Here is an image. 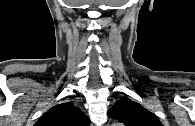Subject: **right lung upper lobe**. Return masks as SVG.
Returning a JSON list of instances; mask_svg holds the SVG:
<instances>
[{
    "mask_svg": "<svg viewBox=\"0 0 195 126\" xmlns=\"http://www.w3.org/2000/svg\"><path fill=\"white\" fill-rule=\"evenodd\" d=\"M87 116L74 105L66 102L52 107L34 126H88Z\"/></svg>",
    "mask_w": 195,
    "mask_h": 126,
    "instance_id": "obj_1",
    "label": "right lung upper lobe"
}]
</instances>
